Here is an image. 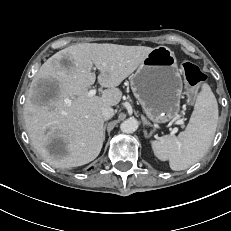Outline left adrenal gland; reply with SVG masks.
<instances>
[{
  "mask_svg": "<svg viewBox=\"0 0 231 231\" xmlns=\"http://www.w3.org/2000/svg\"><path fill=\"white\" fill-rule=\"evenodd\" d=\"M142 118H143V124H144V125L152 126V125L146 120V118H144V117H142ZM144 134H145V137H147L146 131L144 132Z\"/></svg>",
  "mask_w": 231,
  "mask_h": 231,
  "instance_id": "left-adrenal-gland-1",
  "label": "left adrenal gland"
}]
</instances>
